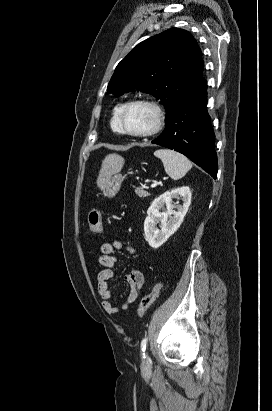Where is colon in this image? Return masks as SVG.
I'll use <instances>...</instances> for the list:
<instances>
[{"label":"colon","mask_w":272,"mask_h":411,"mask_svg":"<svg viewBox=\"0 0 272 411\" xmlns=\"http://www.w3.org/2000/svg\"><path fill=\"white\" fill-rule=\"evenodd\" d=\"M88 224H89V229L93 234L95 235L101 234L102 228H103V213L101 209L94 208L90 211L89 217H88ZM161 290H162V283L156 282L152 290L148 294H146L145 296L139 299L138 305H137V314L140 318L144 316L147 310L156 301Z\"/></svg>","instance_id":"obj_1"}]
</instances>
